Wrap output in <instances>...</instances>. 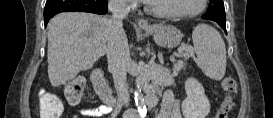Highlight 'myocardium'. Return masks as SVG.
<instances>
[{
  "label": "myocardium",
  "mask_w": 273,
  "mask_h": 118,
  "mask_svg": "<svg viewBox=\"0 0 273 118\" xmlns=\"http://www.w3.org/2000/svg\"><path fill=\"white\" fill-rule=\"evenodd\" d=\"M207 5V0H200V4L197 9L191 11V12H185V13H174V12H161L156 10L153 7L152 2L148 1L146 3V9L149 13L152 15L159 17V18H164V19H179V18H188V17H193L201 12H203L206 8Z\"/></svg>",
  "instance_id": "myocardium-1"
}]
</instances>
